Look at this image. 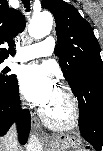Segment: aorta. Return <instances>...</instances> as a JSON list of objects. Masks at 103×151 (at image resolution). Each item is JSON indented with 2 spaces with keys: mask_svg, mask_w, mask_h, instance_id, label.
Here are the masks:
<instances>
[{
  "mask_svg": "<svg viewBox=\"0 0 103 151\" xmlns=\"http://www.w3.org/2000/svg\"><path fill=\"white\" fill-rule=\"evenodd\" d=\"M53 17L48 11H43L32 17L28 26L30 36L35 39H41L47 36L52 30ZM28 151H39L36 147H28Z\"/></svg>",
  "mask_w": 103,
  "mask_h": 151,
  "instance_id": "aorta-1",
  "label": "aorta"
}]
</instances>
